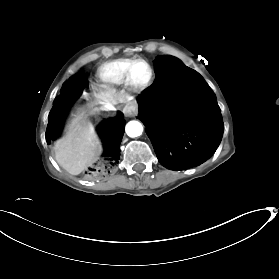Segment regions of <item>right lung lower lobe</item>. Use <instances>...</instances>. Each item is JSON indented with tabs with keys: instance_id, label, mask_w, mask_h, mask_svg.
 I'll return each instance as SVG.
<instances>
[{
	"instance_id": "right-lung-lower-lobe-1",
	"label": "right lung lower lobe",
	"mask_w": 279,
	"mask_h": 279,
	"mask_svg": "<svg viewBox=\"0 0 279 279\" xmlns=\"http://www.w3.org/2000/svg\"><path fill=\"white\" fill-rule=\"evenodd\" d=\"M87 84V78L83 74L82 77H72L69 81L65 82L61 88V93L57 96L53 103V108L49 114V123L46 130V141L50 144L56 140L59 135L63 120L67 111L72 104L81 95L84 86ZM106 125L107 131H103ZM125 122L122 116L112 118L102 124V133L106 138L108 144V156L104 160H118L120 158L119 145L124 133ZM89 174L92 172H100V168H89Z\"/></svg>"
}]
</instances>
